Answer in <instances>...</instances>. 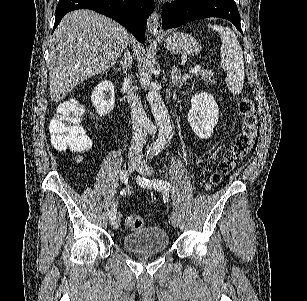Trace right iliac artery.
<instances>
[{"label":"right iliac artery","mask_w":307,"mask_h":301,"mask_svg":"<svg viewBox=\"0 0 307 301\" xmlns=\"http://www.w3.org/2000/svg\"><path fill=\"white\" fill-rule=\"evenodd\" d=\"M120 179L122 180V182L127 183L128 181V174L126 172V170H121L120 171ZM120 194H123V192L121 191ZM116 212H117V204L114 203L112 208H111V212L109 215V219H110V223L113 224L115 217H116Z\"/></svg>","instance_id":"1"}]
</instances>
